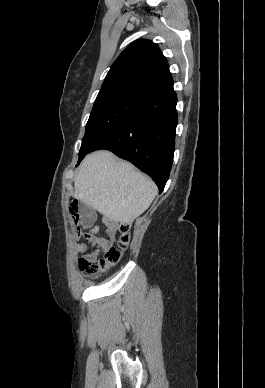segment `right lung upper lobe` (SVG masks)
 I'll list each match as a JSON object with an SVG mask.
<instances>
[{"mask_svg": "<svg viewBox=\"0 0 265 388\" xmlns=\"http://www.w3.org/2000/svg\"><path fill=\"white\" fill-rule=\"evenodd\" d=\"M172 88L168 62L158 45L137 40L113 63L100 92L129 93L148 100Z\"/></svg>", "mask_w": 265, "mask_h": 388, "instance_id": "cb5924a9", "label": "right lung upper lobe"}]
</instances>
